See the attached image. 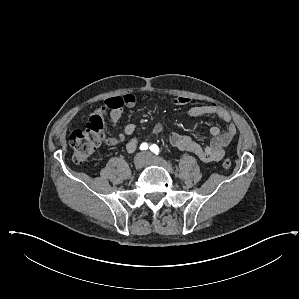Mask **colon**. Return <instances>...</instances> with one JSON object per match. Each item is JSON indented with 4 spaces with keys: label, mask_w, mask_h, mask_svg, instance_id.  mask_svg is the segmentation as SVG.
Listing matches in <instances>:
<instances>
[{
    "label": "colon",
    "mask_w": 299,
    "mask_h": 299,
    "mask_svg": "<svg viewBox=\"0 0 299 299\" xmlns=\"http://www.w3.org/2000/svg\"><path fill=\"white\" fill-rule=\"evenodd\" d=\"M105 124L103 118L93 115L84 129L74 130L69 136L72 159L76 163L86 162L91 154L105 141ZM224 168H230V159L222 162Z\"/></svg>",
    "instance_id": "obj_1"
}]
</instances>
